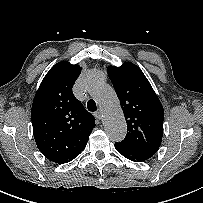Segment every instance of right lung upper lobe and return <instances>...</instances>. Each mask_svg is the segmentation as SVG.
I'll use <instances>...</instances> for the list:
<instances>
[{"label": "right lung upper lobe", "instance_id": "cb5924a9", "mask_svg": "<svg viewBox=\"0 0 203 203\" xmlns=\"http://www.w3.org/2000/svg\"><path fill=\"white\" fill-rule=\"evenodd\" d=\"M81 73L79 65L55 64L35 94L31 120L38 149L50 161L62 164L85 149L95 118L75 98L72 87Z\"/></svg>", "mask_w": 203, "mask_h": 203}]
</instances>
